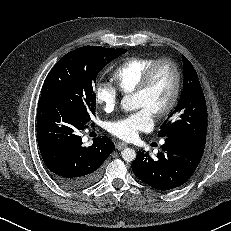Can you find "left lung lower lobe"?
Masks as SVG:
<instances>
[{
  "label": "left lung lower lobe",
  "instance_id": "left-lung-lower-lobe-1",
  "mask_svg": "<svg viewBox=\"0 0 231 231\" xmlns=\"http://www.w3.org/2000/svg\"><path fill=\"white\" fill-rule=\"evenodd\" d=\"M204 148L205 140L166 137L156 157L139 151L132 170L141 181L157 190L174 189L193 175Z\"/></svg>",
  "mask_w": 231,
  "mask_h": 231
}]
</instances>
